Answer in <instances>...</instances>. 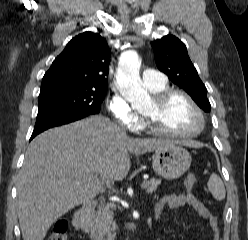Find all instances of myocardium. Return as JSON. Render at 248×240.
<instances>
[{"label": "myocardium", "instance_id": "obj_1", "mask_svg": "<svg viewBox=\"0 0 248 240\" xmlns=\"http://www.w3.org/2000/svg\"><path fill=\"white\" fill-rule=\"evenodd\" d=\"M177 95L184 97L193 107V109L195 110V112L197 113L200 119L199 127L194 131L186 132V133L169 131L158 127L152 117L145 115V121L148 130L156 135L171 137V138H193L200 135L205 129L206 118L200 106L197 104V102L193 99V97L189 93L177 88H166L160 92L154 93L153 99L157 108L162 109L172 97Z\"/></svg>", "mask_w": 248, "mask_h": 240}]
</instances>
